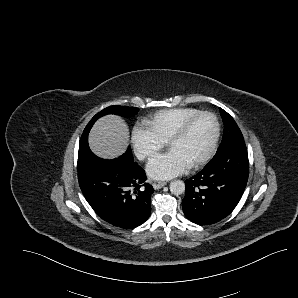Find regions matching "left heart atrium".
<instances>
[{
	"mask_svg": "<svg viewBox=\"0 0 298 298\" xmlns=\"http://www.w3.org/2000/svg\"><path fill=\"white\" fill-rule=\"evenodd\" d=\"M189 165L172 150L154 155L146 166V171L154 179L167 180L181 175Z\"/></svg>",
	"mask_w": 298,
	"mask_h": 298,
	"instance_id": "left-heart-atrium-1",
	"label": "left heart atrium"
}]
</instances>
